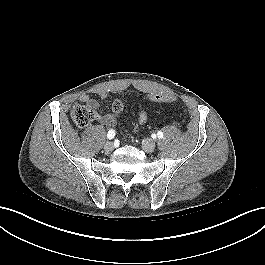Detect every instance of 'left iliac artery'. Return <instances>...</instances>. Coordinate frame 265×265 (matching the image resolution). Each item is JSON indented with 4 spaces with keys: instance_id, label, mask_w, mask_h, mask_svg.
Segmentation results:
<instances>
[{
    "instance_id": "1",
    "label": "left iliac artery",
    "mask_w": 265,
    "mask_h": 265,
    "mask_svg": "<svg viewBox=\"0 0 265 265\" xmlns=\"http://www.w3.org/2000/svg\"><path fill=\"white\" fill-rule=\"evenodd\" d=\"M157 135H158V138H163V132L158 131Z\"/></svg>"
}]
</instances>
